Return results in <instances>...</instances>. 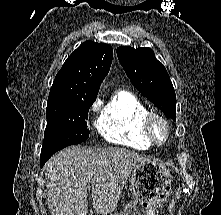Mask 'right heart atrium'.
<instances>
[{
    "label": "right heart atrium",
    "mask_w": 221,
    "mask_h": 215,
    "mask_svg": "<svg viewBox=\"0 0 221 215\" xmlns=\"http://www.w3.org/2000/svg\"><path fill=\"white\" fill-rule=\"evenodd\" d=\"M98 106H99V104H98V103H94V104L92 105V110L97 109V108H98Z\"/></svg>",
    "instance_id": "1"
}]
</instances>
